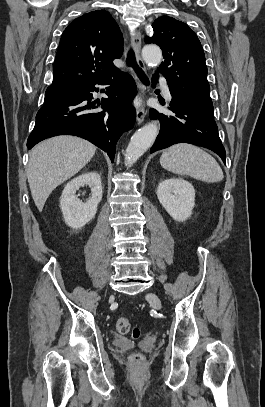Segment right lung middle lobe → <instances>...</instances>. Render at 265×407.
I'll use <instances>...</instances> for the list:
<instances>
[{"label": "right lung middle lobe", "mask_w": 265, "mask_h": 407, "mask_svg": "<svg viewBox=\"0 0 265 407\" xmlns=\"http://www.w3.org/2000/svg\"><path fill=\"white\" fill-rule=\"evenodd\" d=\"M79 86L70 84L51 85L45 94V103L72 94Z\"/></svg>", "instance_id": "1"}]
</instances>
